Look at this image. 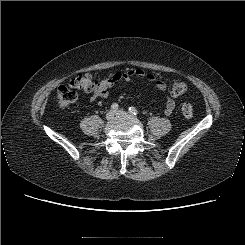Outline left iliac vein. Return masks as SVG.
I'll return each instance as SVG.
<instances>
[{
	"instance_id": "left-iliac-vein-1",
	"label": "left iliac vein",
	"mask_w": 245,
	"mask_h": 245,
	"mask_svg": "<svg viewBox=\"0 0 245 245\" xmlns=\"http://www.w3.org/2000/svg\"><path fill=\"white\" fill-rule=\"evenodd\" d=\"M115 115L117 116H128V113L123 110H117L115 111Z\"/></svg>"
}]
</instances>
